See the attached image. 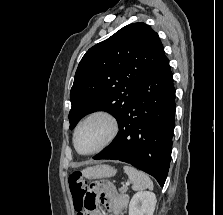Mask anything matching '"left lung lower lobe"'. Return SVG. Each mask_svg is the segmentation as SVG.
I'll list each match as a JSON object with an SVG mask.
<instances>
[{"mask_svg":"<svg viewBox=\"0 0 223 215\" xmlns=\"http://www.w3.org/2000/svg\"><path fill=\"white\" fill-rule=\"evenodd\" d=\"M175 108L173 75L165 59L136 93L113 142L93 159L129 163L163 186L171 160Z\"/></svg>","mask_w":223,"mask_h":215,"instance_id":"obj_1","label":"left lung lower lobe"}]
</instances>
